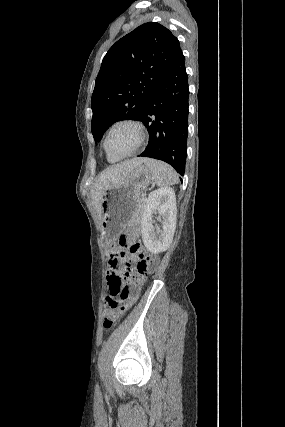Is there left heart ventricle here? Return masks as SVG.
Segmentation results:
<instances>
[{
	"mask_svg": "<svg viewBox=\"0 0 285 427\" xmlns=\"http://www.w3.org/2000/svg\"><path fill=\"white\" fill-rule=\"evenodd\" d=\"M137 142V133L130 125L115 127L108 137V147L115 154L129 152Z\"/></svg>",
	"mask_w": 285,
	"mask_h": 427,
	"instance_id": "obj_1",
	"label": "left heart ventricle"
}]
</instances>
